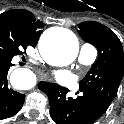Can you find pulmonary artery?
Segmentation results:
<instances>
[{
	"label": "pulmonary artery",
	"instance_id": "1",
	"mask_svg": "<svg viewBox=\"0 0 124 124\" xmlns=\"http://www.w3.org/2000/svg\"><path fill=\"white\" fill-rule=\"evenodd\" d=\"M97 55L96 48L86 43L80 47L78 61L83 65H91L97 59Z\"/></svg>",
	"mask_w": 124,
	"mask_h": 124
}]
</instances>
